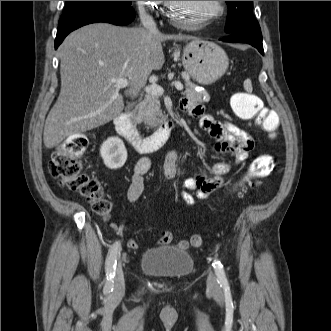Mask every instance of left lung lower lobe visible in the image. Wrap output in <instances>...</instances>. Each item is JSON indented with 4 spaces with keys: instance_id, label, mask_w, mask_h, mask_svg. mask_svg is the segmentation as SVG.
<instances>
[{
    "instance_id": "obj_1",
    "label": "left lung lower lobe",
    "mask_w": 331,
    "mask_h": 331,
    "mask_svg": "<svg viewBox=\"0 0 331 331\" xmlns=\"http://www.w3.org/2000/svg\"><path fill=\"white\" fill-rule=\"evenodd\" d=\"M224 42L248 43L259 50L264 55L261 30H249L229 34L221 39Z\"/></svg>"
}]
</instances>
